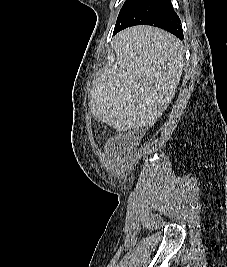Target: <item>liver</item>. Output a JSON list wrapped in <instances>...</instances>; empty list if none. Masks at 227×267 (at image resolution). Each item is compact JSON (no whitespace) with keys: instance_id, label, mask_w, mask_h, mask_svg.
<instances>
[{"instance_id":"1","label":"liver","mask_w":227,"mask_h":267,"mask_svg":"<svg viewBox=\"0 0 227 267\" xmlns=\"http://www.w3.org/2000/svg\"><path fill=\"white\" fill-rule=\"evenodd\" d=\"M116 60L93 81L90 109L117 131L153 125L167 109L184 65L181 42L151 26H135L114 39Z\"/></svg>"}]
</instances>
